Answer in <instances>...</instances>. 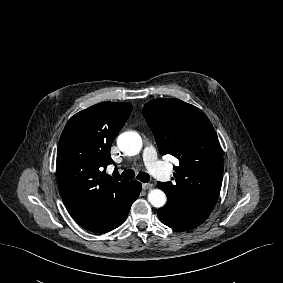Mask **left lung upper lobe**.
Masks as SVG:
<instances>
[{"label": "left lung upper lobe", "instance_id": "left-lung-upper-lobe-1", "mask_svg": "<svg viewBox=\"0 0 283 283\" xmlns=\"http://www.w3.org/2000/svg\"><path fill=\"white\" fill-rule=\"evenodd\" d=\"M162 155L178 158L175 182L159 183L167 197L210 213L218 199L223 160L217 134L207 116L179 99H155L143 109Z\"/></svg>", "mask_w": 283, "mask_h": 283}]
</instances>
